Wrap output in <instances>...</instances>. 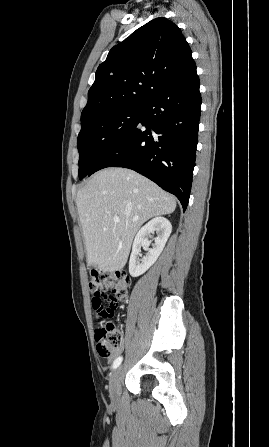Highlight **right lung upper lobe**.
<instances>
[{"label": "right lung upper lobe", "mask_w": 269, "mask_h": 447, "mask_svg": "<svg viewBox=\"0 0 269 447\" xmlns=\"http://www.w3.org/2000/svg\"><path fill=\"white\" fill-rule=\"evenodd\" d=\"M194 62L179 27L156 18L114 46L88 91L81 124L120 107L143 104Z\"/></svg>", "instance_id": "cb5924a9"}]
</instances>
